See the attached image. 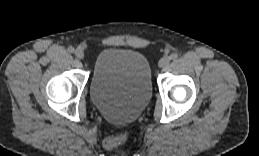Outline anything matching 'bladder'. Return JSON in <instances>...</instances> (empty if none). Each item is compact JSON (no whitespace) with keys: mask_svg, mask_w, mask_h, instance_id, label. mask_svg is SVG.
Returning <instances> with one entry per match:
<instances>
[{"mask_svg":"<svg viewBox=\"0 0 259 156\" xmlns=\"http://www.w3.org/2000/svg\"><path fill=\"white\" fill-rule=\"evenodd\" d=\"M152 95L148 60L139 52L107 48L97 56L90 96L104 118L127 123L139 117Z\"/></svg>","mask_w":259,"mask_h":156,"instance_id":"1","label":"bladder"}]
</instances>
